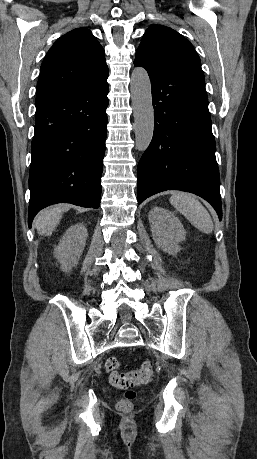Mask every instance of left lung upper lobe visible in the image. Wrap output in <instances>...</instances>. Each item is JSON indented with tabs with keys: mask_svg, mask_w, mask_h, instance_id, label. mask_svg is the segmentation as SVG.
Returning <instances> with one entry per match:
<instances>
[{
	"mask_svg": "<svg viewBox=\"0 0 257 459\" xmlns=\"http://www.w3.org/2000/svg\"><path fill=\"white\" fill-rule=\"evenodd\" d=\"M135 60L163 70L192 68L202 71L192 44L175 30L161 25H152L146 30Z\"/></svg>",
	"mask_w": 257,
	"mask_h": 459,
	"instance_id": "1",
	"label": "left lung upper lobe"
}]
</instances>
